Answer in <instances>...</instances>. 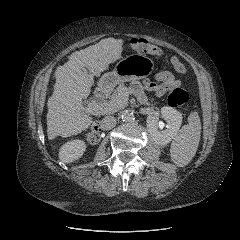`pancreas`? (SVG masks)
Instances as JSON below:
<instances>
[{
	"label": "pancreas",
	"mask_w": 240,
	"mask_h": 240,
	"mask_svg": "<svg viewBox=\"0 0 240 240\" xmlns=\"http://www.w3.org/2000/svg\"><path fill=\"white\" fill-rule=\"evenodd\" d=\"M111 101L116 102V110H120L128 105V92L124 84H120L116 89H114L112 95L110 96Z\"/></svg>",
	"instance_id": "obj_1"
}]
</instances>
